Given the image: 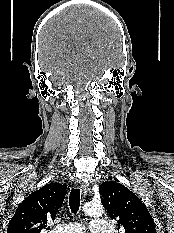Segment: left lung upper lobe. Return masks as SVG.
I'll list each match as a JSON object with an SVG mask.
<instances>
[{
	"mask_svg": "<svg viewBox=\"0 0 174 233\" xmlns=\"http://www.w3.org/2000/svg\"><path fill=\"white\" fill-rule=\"evenodd\" d=\"M102 205L112 220H117L118 229L125 233H156L148 209L132 191L117 182H103L99 187Z\"/></svg>",
	"mask_w": 174,
	"mask_h": 233,
	"instance_id": "5c2ea615",
	"label": "left lung upper lobe"
}]
</instances>
